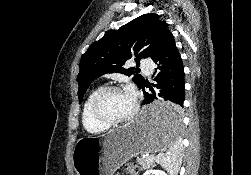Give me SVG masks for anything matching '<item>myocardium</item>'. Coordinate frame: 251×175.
<instances>
[{
    "label": "myocardium",
    "instance_id": "1",
    "mask_svg": "<svg viewBox=\"0 0 251 175\" xmlns=\"http://www.w3.org/2000/svg\"><path fill=\"white\" fill-rule=\"evenodd\" d=\"M112 91H123V89L116 85L106 86L102 88L95 96L92 102V107H91L94 118L108 127H114V126H118L120 124L129 122L136 116L137 111H138V106L133 103L132 111L126 116L116 119V120L107 117L101 109V104L104 97Z\"/></svg>",
    "mask_w": 251,
    "mask_h": 175
}]
</instances>
